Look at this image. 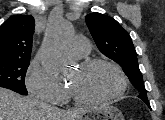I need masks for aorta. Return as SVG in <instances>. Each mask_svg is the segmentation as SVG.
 I'll use <instances>...</instances> for the list:
<instances>
[{
    "label": "aorta",
    "instance_id": "obj_1",
    "mask_svg": "<svg viewBox=\"0 0 165 120\" xmlns=\"http://www.w3.org/2000/svg\"><path fill=\"white\" fill-rule=\"evenodd\" d=\"M71 31V23L65 19L61 17L49 19L39 54L45 67L54 76L60 75L67 67L62 49Z\"/></svg>",
    "mask_w": 165,
    "mask_h": 120
}]
</instances>
